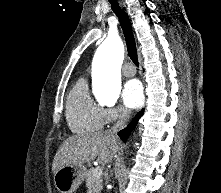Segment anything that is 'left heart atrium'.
<instances>
[{"label":"left heart atrium","instance_id":"obj_1","mask_svg":"<svg viewBox=\"0 0 221 193\" xmlns=\"http://www.w3.org/2000/svg\"><path fill=\"white\" fill-rule=\"evenodd\" d=\"M123 103L129 108H138L143 102L142 85L138 80L128 81L122 91Z\"/></svg>","mask_w":221,"mask_h":193}]
</instances>
